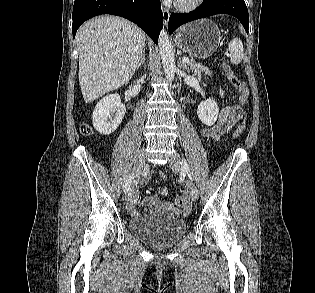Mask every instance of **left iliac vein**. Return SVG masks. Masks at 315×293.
Returning <instances> with one entry per match:
<instances>
[{"label":"left iliac vein","mask_w":315,"mask_h":293,"mask_svg":"<svg viewBox=\"0 0 315 293\" xmlns=\"http://www.w3.org/2000/svg\"><path fill=\"white\" fill-rule=\"evenodd\" d=\"M169 166L174 172L178 173V172L181 171V169H182V161H181V158H180L179 154L175 153V155L173 156V158L169 162ZM186 186H187V194L190 197V199L192 201H197V199H198V192H197L196 187L192 183V181L187 180L186 181Z\"/></svg>","instance_id":"4c4485c4"}]
</instances>
